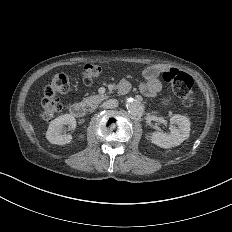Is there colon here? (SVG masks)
<instances>
[{"instance_id": "colon-1", "label": "colon", "mask_w": 232, "mask_h": 232, "mask_svg": "<svg viewBox=\"0 0 232 232\" xmlns=\"http://www.w3.org/2000/svg\"><path fill=\"white\" fill-rule=\"evenodd\" d=\"M98 72H103V67L85 65V68H82L84 76H98ZM52 79H55V81H45L43 94L47 98H35V103L44 107L45 114H48V117H62V112L58 111L61 105L60 100H63L62 96L67 92L68 77H66V74H52ZM164 79L169 85L175 86V92L182 97L184 106L197 107L196 94H190V89L193 86L191 77L179 70L169 69L165 72ZM52 97L59 98V100H52Z\"/></svg>"}]
</instances>
